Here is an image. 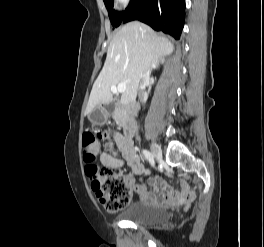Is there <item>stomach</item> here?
Instances as JSON below:
<instances>
[{"mask_svg":"<svg viewBox=\"0 0 264 247\" xmlns=\"http://www.w3.org/2000/svg\"><path fill=\"white\" fill-rule=\"evenodd\" d=\"M108 113L101 105L96 106L90 113L89 119L93 124H102L106 121Z\"/></svg>","mask_w":264,"mask_h":247,"instance_id":"1","label":"stomach"}]
</instances>
